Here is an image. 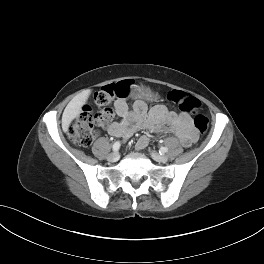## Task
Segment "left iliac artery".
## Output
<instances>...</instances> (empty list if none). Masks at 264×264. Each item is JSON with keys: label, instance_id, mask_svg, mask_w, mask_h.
I'll return each instance as SVG.
<instances>
[{"label": "left iliac artery", "instance_id": "obj_1", "mask_svg": "<svg viewBox=\"0 0 264 264\" xmlns=\"http://www.w3.org/2000/svg\"><path fill=\"white\" fill-rule=\"evenodd\" d=\"M167 151H168V148H166V147H161L160 150H159V153H160V154H164V153H166Z\"/></svg>", "mask_w": 264, "mask_h": 264}]
</instances>
